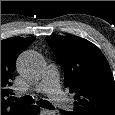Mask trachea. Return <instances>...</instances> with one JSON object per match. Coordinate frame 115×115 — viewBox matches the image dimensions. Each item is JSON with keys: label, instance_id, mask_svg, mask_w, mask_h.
I'll list each match as a JSON object with an SVG mask.
<instances>
[{"label": "trachea", "instance_id": "obj_1", "mask_svg": "<svg viewBox=\"0 0 115 115\" xmlns=\"http://www.w3.org/2000/svg\"><path fill=\"white\" fill-rule=\"evenodd\" d=\"M14 101L16 102H19V103H23V104H31L34 102V99L31 97V96H23L21 98H16L14 97L13 98ZM37 104L40 106V107H43V108H46V109H49V110H55V107L48 101L46 100H39L37 102Z\"/></svg>", "mask_w": 115, "mask_h": 115}]
</instances>
